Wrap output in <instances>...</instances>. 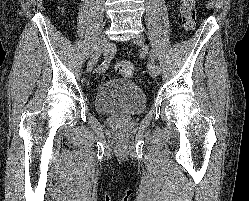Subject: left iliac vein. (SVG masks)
Instances as JSON below:
<instances>
[{
  "label": "left iliac vein",
  "instance_id": "4c4485c4",
  "mask_svg": "<svg viewBox=\"0 0 249 201\" xmlns=\"http://www.w3.org/2000/svg\"><path fill=\"white\" fill-rule=\"evenodd\" d=\"M133 42L138 44L139 46L144 47L145 38L142 34H138L133 38ZM149 73L153 78H156L159 75L157 68L153 63L149 64Z\"/></svg>",
  "mask_w": 249,
  "mask_h": 201
}]
</instances>
